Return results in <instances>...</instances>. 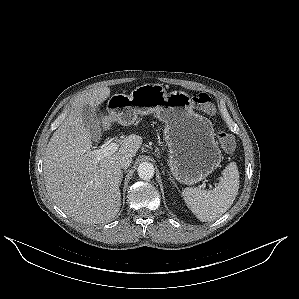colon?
<instances>
[{"label":"colon","mask_w":299,"mask_h":299,"mask_svg":"<svg viewBox=\"0 0 299 299\" xmlns=\"http://www.w3.org/2000/svg\"><path fill=\"white\" fill-rule=\"evenodd\" d=\"M193 102L208 114H213L215 112V108L211 101V98L206 93L197 94L193 98ZM218 141L222 148L228 152H231L235 149L234 139L225 132L218 133Z\"/></svg>","instance_id":"colon-1"}]
</instances>
